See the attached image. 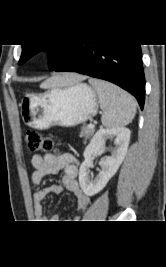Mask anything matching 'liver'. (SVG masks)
<instances>
[{"label": "liver", "mask_w": 166, "mask_h": 267, "mask_svg": "<svg viewBox=\"0 0 166 267\" xmlns=\"http://www.w3.org/2000/svg\"><path fill=\"white\" fill-rule=\"evenodd\" d=\"M85 79V76L79 74L66 73L49 78L44 83H42L41 87L46 89L51 87L70 86L80 83Z\"/></svg>", "instance_id": "obj_1"}]
</instances>
